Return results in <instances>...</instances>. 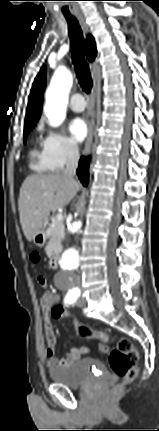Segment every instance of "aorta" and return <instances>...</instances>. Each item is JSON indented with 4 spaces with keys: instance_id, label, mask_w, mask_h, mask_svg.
Wrapping results in <instances>:
<instances>
[{
    "instance_id": "obj_1",
    "label": "aorta",
    "mask_w": 159,
    "mask_h": 431,
    "mask_svg": "<svg viewBox=\"0 0 159 431\" xmlns=\"http://www.w3.org/2000/svg\"><path fill=\"white\" fill-rule=\"evenodd\" d=\"M73 83L71 72L63 67L58 68L51 80L46 91L45 113L50 121L51 126L60 125L66 116V106L68 103V94ZM82 229V222L76 221L68 227L65 236L71 239L74 235L79 234ZM81 265L79 251L72 247L66 246L61 258L60 266L65 272V279L68 284L72 283V272L76 271Z\"/></svg>"
}]
</instances>
